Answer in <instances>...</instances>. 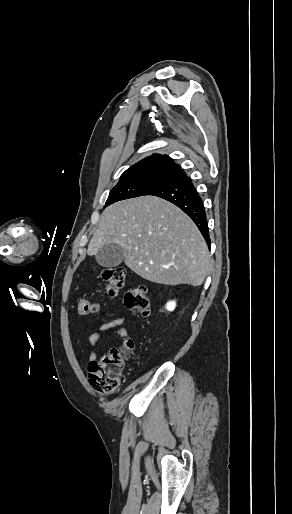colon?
I'll return each instance as SVG.
<instances>
[{
	"label": "colon",
	"mask_w": 292,
	"mask_h": 514,
	"mask_svg": "<svg viewBox=\"0 0 292 514\" xmlns=\"http://www.w3.org/2000/svg\"><path fill=\"white\" fill-rule=\"evenodd\" d=\"M125 269L123 267H111L101 272L100 279L109 297L116 295L125 286ZM125 302L131 312L136 315H147L150 308V293L146 285H135L126 293ZM99 304L88 297H81L78 301L79 313L83 316H91L98 310ZM132 340H126L130 346ZM127 360V350L123 348H111L105 351L101 357L89 363L88 381L98 393L115 396L120 390L119 375Z\"/></svg>",
	"instance_id": "1"
}]
</instances>
